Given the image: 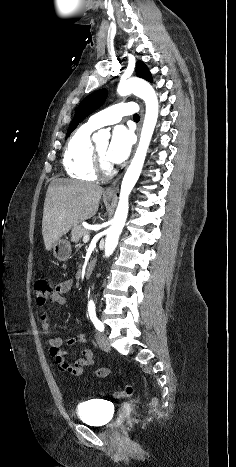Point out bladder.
Segmentation results:
<instances>
[{
    "label": "bladder",
    "instance_id": "1",
    "mask_svg": "<svg viewBox=\"0 0 236 467\" xmlns=\"http://www.w3.org/2000/svg\"><path fill=\"white\" fill-rule=\"evenodd\" d=\"M113 405L102 399H91L83 402L76 408V416L79 420L94 426L108 424V413Z\"/></svg>",
    "mask_w": 236,
    "mask_h": 467
}]
</instances>
